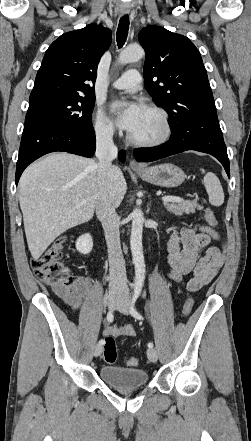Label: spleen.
Here are the masks:
<instances>
[{
	"label": "spleen",
	"mask_w": 251,
	"mask_h": 441,
	"mask_svg": "<svg viewBox=\"0 0 251 441\" xmlns=\"http://www.w3.org/2000/svg\"><path fill=\"white\" fill-rule=\"evenodd\" d=\"M205 173L204 169H201ZM204 186L209 195V202L213 206H221L224 203V192L218 177L211 172L204 176Z\"/></svg>",
	"instance_id": "spleen-1"
}]
</instances>
